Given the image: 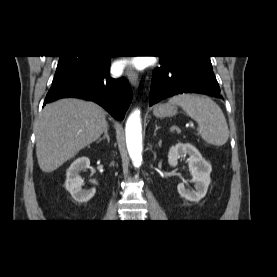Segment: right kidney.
<instances>
[{
    "label": "right kidney",
    "instance_id": "ca27d5eb",
    "mask_svg": "<svg viewBox=\"0 0 277 277\" xmlns=\"http://www.w3.org/2000/svg\"><path fill=\"white\" fill-rule=\"evenodd\" d=\"M90 160L87 157L77 158L67 169L65 187L71 196L80 203L88 202L95 194V188L90 190L82 189L83 180L80 172L89 168Z\"/></svg>",
    "mask_w": 277,
    "mask_h": 277
}]
</instances>
